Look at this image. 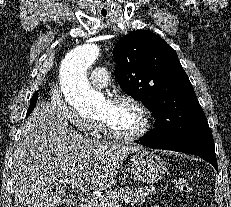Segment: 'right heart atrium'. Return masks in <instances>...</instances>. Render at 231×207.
I'll list each match as a JSON object with an SVG mask.
<instances>
[{"label":"right heart atrium","instance_id":"obj_1","mask_svg":"<svg viewBox=\"0 0 231 207\" xmlns=\"http://www.w3.org/2000/svg\"><path fill=\"white\" fill-rule=\"evenodd\" d=\"M51 105L56 114L84 134H92V124L90 120L81 115L73 106L66 101L63 95L54 90L51 95Z\"/></svg>","mask_w":231,"mask_h":207}]
</instances>
